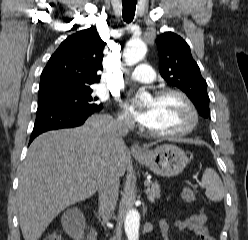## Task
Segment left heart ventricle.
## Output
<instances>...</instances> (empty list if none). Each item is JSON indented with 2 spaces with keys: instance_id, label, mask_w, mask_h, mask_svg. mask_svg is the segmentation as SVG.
Listing matches in <instances>:
<instances>
[{
  "instance_id": "1",
  "label": "left heart ventricle",
  "mask_w": 248,
  "mask_h": 240,
  "mask_svg": "<svg viewBox=\"0 0 248 240\" xmlns=\"http://www.w3.org/2000/svg\"><path fill=\"white\" fill-rule=\"evenodd\" d=\"M148 106L153 109V120L149 129L158 132H173L185 127L190 113L184 101L175 95L152 98Z\"/></svg>"
}]
</instances>
